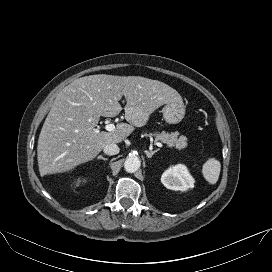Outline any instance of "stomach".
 Masks as SVG:
<instances>
[{
	"instance_id": "0dacf381",
	"label": "stomach",
	"mask_w": 272,
	"mask_h": 272,
	"mask_svg": "<svg viewBox=\"0 0 272 272\" xmlns=\"http://www.w3.org/2000/svg\"><path fill=\"white\" fill-rule=\"evenodd\" d=\"M186 113V107L182 101L167 103L163 108V118L169 124H177L182 121Z\"/></svg>"
}]
</instances>
